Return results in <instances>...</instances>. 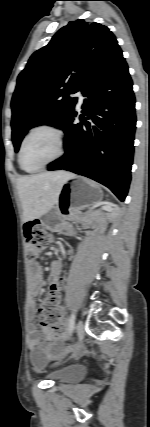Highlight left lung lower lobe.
Returning a JSON list of instances; mask_svg holds the SVG:
<instances>
[{
  "label": "left lung lower lobe",
  "instance_id": "left-lung-lower-lobe-1",
  "mask_svg": "<svg viewBox=\"0 0 150 427\" xmlns=\"http://www.w3.org/2000/svg\"><path fill=\"white\" fill-rule=\"evenodd\" d=\"M86 99L80 122L77 111L61 128L65 154L48 170H68L91 178L121 200L131 181L136 129L135 97L128 66L118 47L81 89Z\"/></svg>",
  "mask_w": 150,
  "mask_h": 427
}]
</instances>
